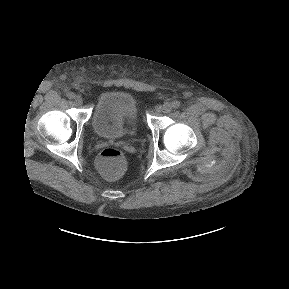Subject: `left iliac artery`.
<instances>
[{
	"label": "left iliac artery",
	"mask_w": 289,
	"mask_h": 289,
	"mask_svg": "<svg viewBox=\"0 0 289 289\" xmlns=\"http://www.w3.org/2000/svg\"><path fill=\"white\" fill-rule=\"evenodd\" d=\"M180 106H181L180 101L175 100V101L172 102V107H173V108L177 109V108H179Z\"/></svg>",
	"instance_id": "1"
}]
</instances>
